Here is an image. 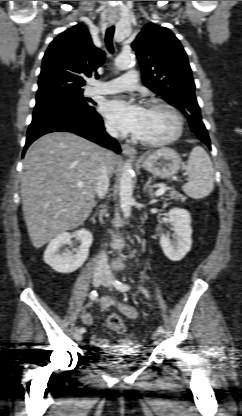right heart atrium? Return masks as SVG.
<instances>
[{
    "label": "right heart atrium",
    "mask_w": 242,
    "mask_h": 416,
    "mask_svg": "<svg viewBox=\"0 0 242 416\" xmlns=\"http://www.w3.org/2000/svg\"><path fill=\"white\" fill-rule=\"evenodd\" d=\"M106 129L112 135H117V130L110 122H106Z\"/></svg>",
    "instance_id": "d8ad5b80"
}]
</instances>
